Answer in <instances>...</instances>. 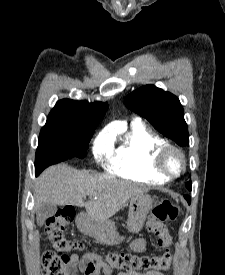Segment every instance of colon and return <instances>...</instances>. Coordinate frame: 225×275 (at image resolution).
I'll list each match as a JSON object with an SVG mask.
<instances>
[{"label":"colon","mask_w":225,"mask_h":275,"mask_svg":"<svg viewBox=\"0 0 225 275\" xmlns=\"http://www.w3.org/2000/svg\"><path fill=\"white\" fill-rule=\"evenodd\" d=\"M179 211V206L174 201L159 199L153 209L152 217L147 222L148 232L156 237L158 246L164 249L162 255L138 256L115 252L102 256L104 261L111 268L125 271L160 272L168 270L172 263L170 250L172 238L165 223L175 220ZM74 215L72 208H64L60 213L48 219L46 226L48 240L57 250H48L43 254L44 275H76L77 266L64 253V251L81 250L84 247L83 243L71 241L64 236V230L72 222Z\"/></svg>","instance_id":"obj_1"}]
</instances>
